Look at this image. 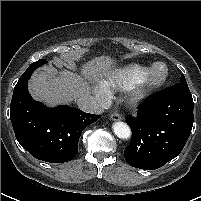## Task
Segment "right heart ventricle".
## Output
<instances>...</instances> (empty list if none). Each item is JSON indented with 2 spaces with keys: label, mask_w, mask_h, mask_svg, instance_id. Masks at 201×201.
Segmentation results:
<instances>
[{
  "label": "right heart ventricle",
  "mask_w": 201,
  "mask_h": 201,
  "mask_svg": "<svg viewBox=\"0 0 201 201\" xmlns=\"http://www.w3.org/2000/svg\"><path fill=\"white\" fill-rule=\"evenodd\" d=\"M148 67L137 63L128 64L108 76L105 84L124 90L134 85L147 71Z\"/></svg>",
  "instance_id": "right-heart-ventricle-1"
}]
</instances>
